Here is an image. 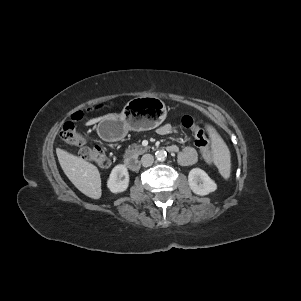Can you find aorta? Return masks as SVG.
Wrapping results in <instances>:
<instances>
[{"label": "aorta", "mask_w": 301, "mask_h": 301, "mask_svg": "<svg viewBox=\"0 0 301 301\" xmlns=\"http://www.w3.org/2000/svg\"><path fill=\"white\" fill-rule=\"evenodd\" d=\"M155 157L158 161H164L167 157V153L164 150H158L155 153Z\"/></svg>", "instance_id": "1"}]
</instances>
